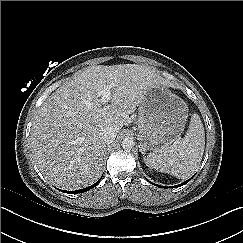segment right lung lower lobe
Returning <instances> with one entry per match:
<instances>
[{"mask_svg": "<svg viewBox=\"0 0 243 243\" xmlns=\"http://www.w3.org/2000/svg\"><path fill=\"white\" fill-rule=\"evenodd\" d=\"M100 180L98 182L94 183L93 185H91L87 188L81 189V190H76V191H64V190H62V192H66V193H69V194L83 193V192H86V191L92 189L93 187H95L100 182Z\"/></svg>", "mask_w": 243, "mask_h": 243, "instance_id": "right-lung-lower-lobe-1", "label": "right lung lower lobe"}]
</instances>
